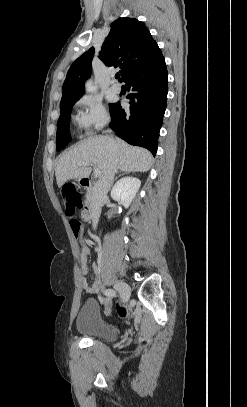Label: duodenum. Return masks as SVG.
<instances>
[{
	"label": "duodenum",
	"instance_id": "410a0bca",
	"mask_svg": "<svg viewBox=\"0 0 247 407\" xmlns=\"http://www.w3.org/2000/svg\"><path fill=\"white\" fill-rule=\"evenodd\" d=\"M83 188L87 189L89 192H93L95 188V182L90 178H82L80 181ZM99 210L98 202L91 200L89 201L86 206L83 208L82 211V218L84 221L88 222L93 219L96 213Z\"/></svg>",
	"mask_w": 247,
	"mask_h": 407
}]
</instances>
